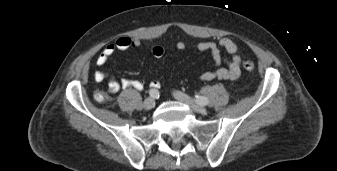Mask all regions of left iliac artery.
<instances>
[{"mask_svg":"<svg viewBox=\"0 0 337 171\" xmlns=\"http://www.w3.org/2000/svg\"><path fill=\"white\" fill-rule=\"evenodd\" d=\"M195 100L200 105H207L209 103V100L206 97L196 95Z\"/></svg>","mask_w":337,"mask_h":171,"instance_id":"left-iliac-artery-1","label":"left iliac artery"}]
</instances>
